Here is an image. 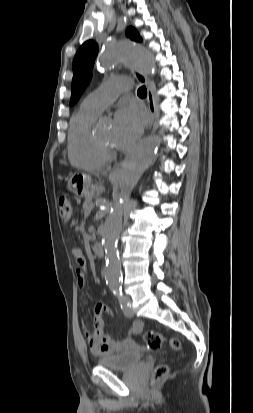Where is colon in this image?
<instances>
[{
  "instance_id": "colon-1",
  "label": "colon",
  "mask_w": 253,
  "mask_h": 413,
  "mask_svg": "<svg viewBox=\"0 0 253 413\" xmlns=\"http://www.w3.org/2000/svg\"><path fill=\"white\" fill-rule=\"evenodd\" d=\"M59 212L61 218L68 222L73 217V207L69 199L61 197L59 199ZM144 342L149 349H160L163 344L168 343L170 348L174 351L179 350L180 341L175 337H166L161 333L155 331H147L143 335ZM169 372V368L166 364L160 363L154 370L152 382L156 383L164 378Z\"/></svg>"
}]
</instances>
